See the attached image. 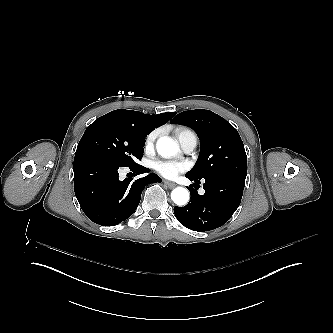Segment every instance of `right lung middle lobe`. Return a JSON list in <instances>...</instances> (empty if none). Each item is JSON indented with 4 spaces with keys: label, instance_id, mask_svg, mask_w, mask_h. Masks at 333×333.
Wrapping results in <instances>:
<instances>
[{
    "label": "right lung middle lobe",
    "instance_id": "1",
    "mask_svg": "<svg viewBox=\"0 0 333 333\" xmlns=\"http://www.w3.org/2000/svg\"><path fill=\"white\" fill-rule=\"evenodd\" d=\"M148 134L128 122L100 117L87 127L77 151H93L120 167H134L138 165L134 160L143 156Z\"/></svg>",
    "mask_w": 333,
    "mask_h": 333
}]
</instances>
